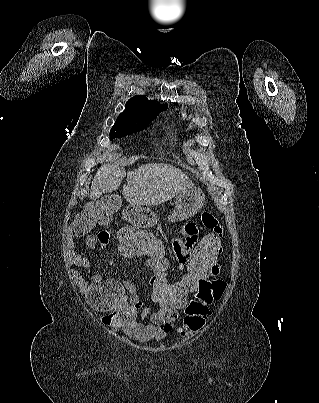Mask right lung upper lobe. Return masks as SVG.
I'll return each mask as SVG.
<instances>
[{"instance_id": "right-lung-upper-lobe-1", "label": "right lung upper lobe", "mask_w": 319, "mask_h": 403, "mask_svg": "<svg viewBox=\"0 0 319 403\" xmlns=\"http://www.w3.org/2000/svg\"><path fill=\"white\" fill-rule=\"evenodd\" d=\"M167 104H160L156 100H148L144 95H137L126 102L125 110L119 115L137 121H143L158 116L166 110Z\"/></svg>"}]
</instances>
